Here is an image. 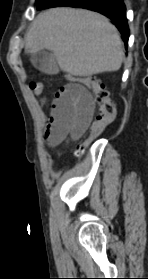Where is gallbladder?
I'll use <instances>...</instances> for the list:
<instances>
[{"instance_id": "gallbladder-1", "label": "gallbladder", "mask_w": 148, "mask_h": 279, "mask_svg": "<svg viewBox=\"0 0 148 279\" xmlns=\"http://www.w3.org/2000/svg\"><path fill=\"white\" fill-rule=\"evenodd\" d=\"M30 61L36 69L44 74L56 75L59 73L57 61L54 55L48 51L40 50L32 54Z\"/></svg>"}]
</instances>
